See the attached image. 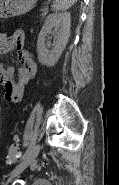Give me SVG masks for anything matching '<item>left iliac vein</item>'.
Segmentation results:
<instances>
[{
	"label": "left iliac vein",
	"instance_id": "1",
	"mask_svg": "<svg viewBox=\"0 0 119 185\" xmlns=\"http://www.w3.org/2000/svg\"><path fill=\"white\" fill-rule=\"evenodd\" d=\"M40 149V144H37L32 148L31 152L26 155L23 160L10 173L7 183H9L16 176H18L25 168H27L32 162L35 161L40 152Z\"/></svg>",
	"mask_w": 119,
	"mask_h": 185
}]
</instances>
